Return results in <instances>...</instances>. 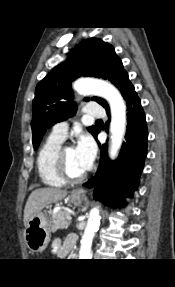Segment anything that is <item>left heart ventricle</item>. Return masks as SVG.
I'll return each mask as SVG.
<instances>
[{
    "mask_svg": "<svg viewBox=\"0 0 175 287\" xmlns=\"http://www.w3.org/2000/svg\"><path fill=\"white\" fill-rule=\"evenodd\" d=\"M65 161L67 169L72 175H79L86 171L73 147L66 149Z\"/></svg>",
    "mask_w": 175,
    "mask_h": 287,
    "instance_id": "1",
    "label": "left heart ventricle"
}]
</instances>
